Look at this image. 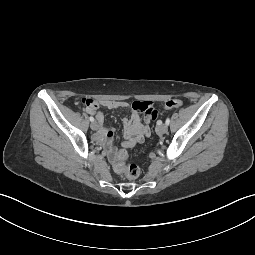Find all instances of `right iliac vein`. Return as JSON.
<instances>
[{"label": "right iliac vein", "instance_id": "right-iliac-vein-1", "mask_svg": "<svg viewBox=\"0 0 255 255\" xmlns=\"http://www.w3.org/2000/svg\"><path fill=\"white\" fill-rule=\"evenodd\" d=\"M90 127H91L92 130H97L99 125H98V123L96 121H93L91 123Z\"/></svg>", "mask_w": 255, "mask_h": 255}]
</instances>
